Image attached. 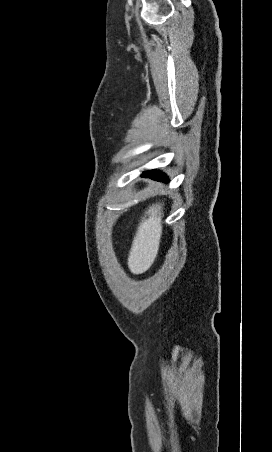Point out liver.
<instances>
[{
	"instance_id": "1",
	"label": "liver",
	"mask_w": 272,
	"mask_h": 452,
	"mask_svg": "<svg viewBox=\"0 0 272 452\" xmlns=\"http://www.w3.org/2000/svg\"><path fill=\"white\" fill-rule=\"evenodd\" d=\"M162 217L163 205L160 203L153 204L145 212L128 256V267L133 274H142L153 264L162 234Z\"/></svg>"
}]
</instances>
